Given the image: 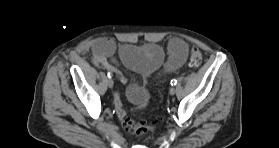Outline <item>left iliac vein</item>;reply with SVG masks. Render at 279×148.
I'll return each instance as SVG.
<instances>
[{"instance_id":"1","label":"left iliac vein","mask_w":279,"mask_h":148,"mask_svg":"<svg viewBox=\"0 0 279 148\" xmlns=\"http://www.w3.org/2000/svg\"><path fill=\"white\" fill-rule=\"evenodd\" d=\"M175 92H176V90H175V88H174V87H171V88L169 89V93H170V95H174V94H175Z\"/></svg>"}]
</instances>
